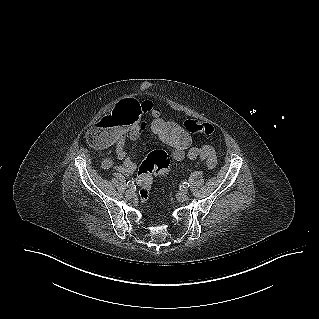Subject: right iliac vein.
I'll list each match as a JSON object with an SVG mask.
<instances>
[{"label": "right iliac vein", "mask_w": 319, "mask_h": 319, "mask_svg": "<svg viewBox=\"0 0 319 319\" xmlns=\"http://www.w3.org/2000/svg\"><path fill=\"white\" fill-rule=\"evenodd\" d=\"M125 195H126L127 198H133V197H135V190L134 189H129V190L126 191Z\"/></svg>", "instance_id": "right-iliac-vein-1"}]
</instances>
